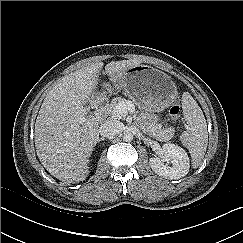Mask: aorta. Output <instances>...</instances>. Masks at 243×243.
I'll return each mask as SVG.
<instances>
[{"label": "aorta", "mask_w": 243, "mask_h": 243, "mask_svg": "<svg viewBox=\"0 0 243 243\" xmlns=\"http://www.w3.org/2000/svg\"><path fill=\"white\" fill-rule=\"evenodd\" d=\"M122 138L125 142H130L133 140V133L131 131H125Z\"/></svg>", "instance_id": "aorta-1"}]
</instances>
